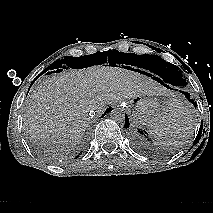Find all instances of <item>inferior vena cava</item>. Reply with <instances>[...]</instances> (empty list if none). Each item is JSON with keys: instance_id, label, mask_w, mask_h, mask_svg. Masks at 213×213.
Segmentation results:
<instances>
[{"instance_id": "602c4592", "label": "inferior vena cava", "mask_w": 213, "mask_h": 213, "mask_svg": "<svg viewBox=\"0 0 213 213\" xmlns=\"http://www.w3.org/2000/svg\"><path fill=\"white\" fill-rule=\"evenodd\" d=\"M88 114H89V116H91V117H93V116H95V111L94 110H89V112H88Z\"/></svg>"}]
</instances>
